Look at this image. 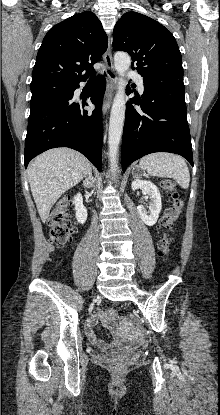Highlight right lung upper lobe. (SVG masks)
<instances>
[{"mask_svg":"<svg viewBox=\"0 0 220 415\" xmlns=\"http://www.w3.org/2000/svg\"><path fill=\"white\" fill-rule=\"evenodd\" d=\"M108 46L107 36L97 16L85 11L53 26L39 48L32 82L61 80L77 83L94 72ZM86 71L82 75V72Z\"/></svg>","mask_w":220,"mask_h":415,"instance_id":"right-lung-upper-lobe-1","label":"right lung upper lobe"}]
</instances>
